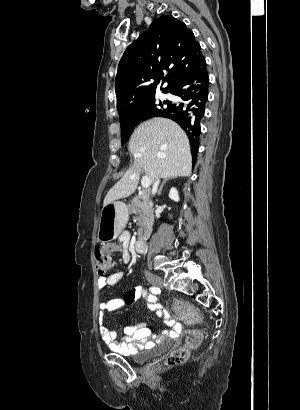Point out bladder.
Segmentation results:
<instances>
[{"label": "bladder", "instance_id": "bladder-1", "mask_svg": "<svg viewBox=\"0 0 300 410\" xmlns=\"http://www.w3.org/2000/svg\"><path fill=\"white\" fill-rule=\"evenodd\" d=\"M166 343H169V340H167ZM154 350L155 349L146 351V352L141 353V354H136V355L132 356V359L135 362H139V363L145 362V361L149 360L152 357Z\"/></svg>", "mask_w": 300, "mask_h": 410}]
</instances>
